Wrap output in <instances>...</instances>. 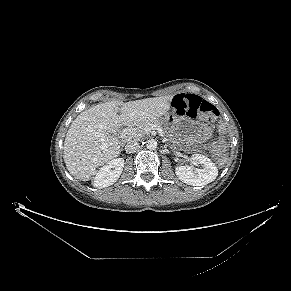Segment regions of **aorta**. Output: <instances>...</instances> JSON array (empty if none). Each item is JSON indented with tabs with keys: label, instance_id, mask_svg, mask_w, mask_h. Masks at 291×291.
Returning a JSON list of instances; mask_svg holds the SVG:
<instances>
[{
	"label": "aorta",
	"instance_id": "762f6f07",
	"mask_svg": "<svg viewBox=\"0 0 291 291\" xmlns=\"http://www.w3.org/2000/svg\"><path fill=\"white\" fill-rule=\"evenodd\" d=\"M146 146L149 150H155L157 148V141L155 139H149Z\"/></svg>",
	"mask_w": 291,
	"mask_h": 291
}]
</instances>
